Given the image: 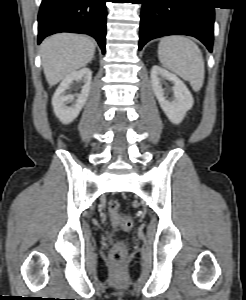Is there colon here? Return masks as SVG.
<instances>
[{
    "instance_id": "1",
    "label": "colon",
    "mask_w": 246,
    "mask_h": 300,
    "mask_svg": "<svg viewBox=\"0 0 246 300\" xmlns=\"http://www.w3.org/2000/svg\"><path fill=\"white\" fill-rule=\"evenodd\" d=\"M119 203L116 200H111L108 203V210L113 223L122 230H130L133 226V220L129 216L120 215L118 213ZM127 250L124 244H116L111 251V260L115 263H120L125 260Z\"/></svg>"
}]
</instances>
